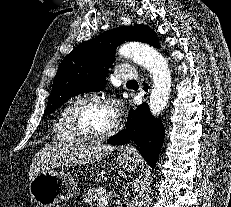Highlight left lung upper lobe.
Segmentation results:
<instances>
[{
	"label": "left lung upper lobe",
	"instance_id": "obj_1",
	"mask_svg": "<svg viewBox=\"0 0 231 207\" xmlns=\"http://www.w3.org/2000/svg\"><path fill=\"white\" fill-rule=\"evenodd\" d=\"M125 41H139L160 47L156 33L147 25L112 29L83 42L59 65L44 116L71 97L105 89L108 68L115 60L116 47Z\"/></svg>",
	"mask_w": 231,
	"mask_h": 207
}]
</instances>
